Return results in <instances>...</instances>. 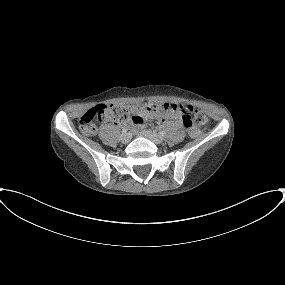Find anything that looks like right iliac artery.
Segmentation results:
<instances>
[{
    "label": "right iliac artery",
    "instance_id": "obj_1",
    "mask_svg": "<svg viewBox=\"0 0 285 285\" xmlns=\"http://www.w3.org/2000/svg\"><path fill=\"white\" fill-rule=\"evenodd\" d=\"M127 131H128V127L125 126V127L122 129V134H126Z\"/></svg>",
    "mask_w": 285,
    "mask_h": 285
}]
</instances>
